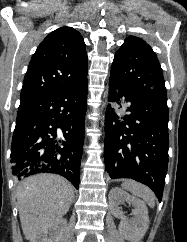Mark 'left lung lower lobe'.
Instances as JSON below:
<instances>
[{"mask_svg":"<svg viewBox=\"0 0 187 242\" xmlns=\"http://www.w3.org/2000/svg\"><path fill=\"white\" fill-rule=\"evenodd\" d=\"M109 102L128 103L118 116L109 104L105 120V169L112 179L130 178L162 200L168 167V107L110 78Z\"/></svg>","mask_w":187,"mask_h":242,"instance_id":"1","label":"left lung lower lobe"}]
</instances>
